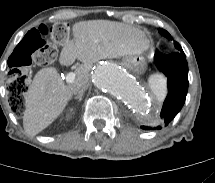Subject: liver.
I'll return each instance as SVG.
<instances>
[{
    "label": "liver",
    "mask_w": 215,
    "mask_h": 183,
    "mask_svg": "<svg viewBox=\"0 0 215 183\" xmlns=\"http://www.w3.org/2000/svg\"><path fill=\"white\" fill-rule=\"evenodd\" d=\"M74 38L66 40L59 58L70 66L76 59L83 64L76 69V81L89 78L93 63L107 58L140 55L149 48V41L140 29L108 20L75 23ZM74 93L73 84L65 85L53 67L39 70L26 94L23 127L30 135L47 128L65 109Z\"/></svg>",
    "instance_id": "obj_1"
}]
</instances>
